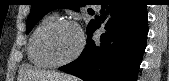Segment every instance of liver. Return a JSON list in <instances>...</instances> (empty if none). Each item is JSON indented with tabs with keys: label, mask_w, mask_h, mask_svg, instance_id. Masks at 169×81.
<instances>
[{
	"label": "liver",
	"mask_w": 169,
	"mask_h": 81,
	"mask_svg": "<svg viewBox=\"0 0 169 81\" xmlns=\"http://www.w3.org/2000/svg\"><path fill=\"white\" fill-rule=\"evenodd\" d=\"M22 79H26L27 81H76L74 77L64 73L32 69L29 67L24 70V78Z\"/></svg>",
	"instance_id": "1"
}]
</instances>
